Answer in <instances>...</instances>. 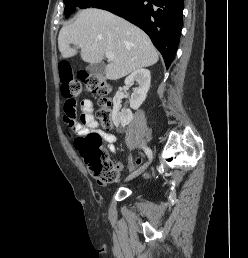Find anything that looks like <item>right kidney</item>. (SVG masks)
Listing matches in <instances>:
<instances>
[{"label": "right kidney", "mask_w": 248, "mask_h": 258, "mask_svg": "<svg viewBox=\"0 0 248 258\" xmlns=\"http://www.w3.org/2000/svg\"><path fill=\"white\" fill-rule=\"evenodd\" d=\"M135 81L139 86L134 89L131 95L130 107L137 110L146 99L151 81L150 71L148 69H138L134 71L125 79V85L130 87ZM122 95V88H119L113 99L112 120L116 127H125L133 119V114L130 109L120 111Z\"/></svg>", "instance_id": "obj_1"}]
</instances>
